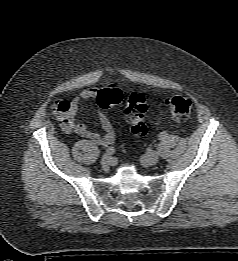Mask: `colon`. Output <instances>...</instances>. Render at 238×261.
<instances>
[{"label": "colon", "mask_w": 238, "mask_h": 261, "mask_svg": "<svg viewBox=\"0 0 238 261\" xmlns=\"http://www.w3.org/2000/svg\"><path fill=\"white\" fill-rule=\"evenodd\" d=\"M97 103L103 109L116 107L122 110L133 134L143 137L147 134L145 113L147 111V98L143 93H131L124 98L122 91L115 86L101 89L97 96ZM165 105L170 114L179 121L186 120L191 111V101L183 96L172 95L165 98ZM56 110L65 108V103H56Z\"/></svg>", "instance_id": "colon-1"}]
</instances>
